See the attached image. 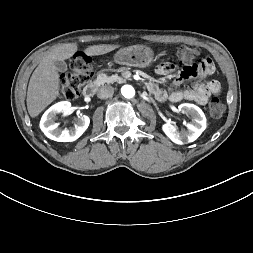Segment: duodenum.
I'll list each match as a JSON object with an SVG mask.
<instances>
[{"instance_id":"duodenum-1","label":"duodenum","mask_w":253,"mask_h":253,"mask_svg":"<svg viewBox=\"0 0 253 253\" xmlns=\"http://www.w3.org/2000/svg\"><path fill=\"white\" fill-rule=\"evenodd\" d=\"M101 84V81L100 80H95V81H92L90 82L89 84H87L83 90V95L86 97V98H91L93 97L99 86Z\"/></svg>"}]
</instances>
